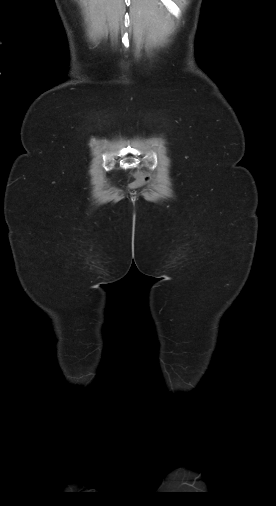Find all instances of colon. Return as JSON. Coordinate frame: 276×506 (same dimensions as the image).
<instances>
[{"mask_svg":"<svg viewBox=\"0 0 276 506\" xmlns=\"http://www.w3.org/2000/svg\"><path fill=\"white\" fill-rule=\"evenodd\" d=\"M135 176H136V180L133 183L134 187H141V186L145 185L146 183H148V181H149V176L144 171L136 172Z\"/></svg>","mask_w":276,"mask_h":506,"instance_id":"colon-1","label":"colon"}]
</instances>
